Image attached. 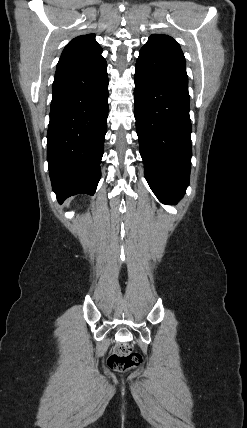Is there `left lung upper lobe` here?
<instances>
[{"instance_id": "obj_1", "label": "left lung upper lobe", "mask_w": 247, "mask_h": 428, "mask_svg": "<svg viewBox=\"0 0 247 428\" xmlns=\"http://www.w3.org/2000/svg\"><path fill=\"white\" fill-rule=\"evenodd\" d=\"M142 48L156 51L185 63V57L179 44L168 35L153 34Z\"/></svg>"}]
</instances>
